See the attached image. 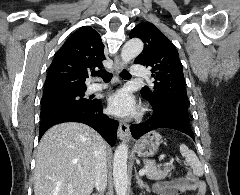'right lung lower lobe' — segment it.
I'll list each match as a JSON object with an SVG mask.
<instances>
[{
    "label": "right lung lower lobe",
    "mask_w": 240,
    "mask_h": 195,
    "mask_svg": "<svg viewBox=\"0 0 240 195\" xmlns=\"http://www.w3.org/2000/svg\"><path fill=\"white\" fill-rule=\"evenodd\" d=\"M39 139L51 126L62 122H81L94 128L111 145L116 143L118 121L103 114L100 100L86 105H55L41 109Z\"/></svg>",
    "instance_id": "obj_1"
}]
</instances>
